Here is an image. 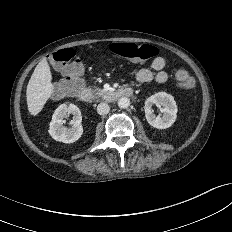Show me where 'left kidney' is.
I'll return each mask as SVG.
<instances>
[{"label": "left kidney", "instance_id": "left-kidney-1", "mask_svg": "<svg viewBox=\"0 0 232 232\" xmlns=\"http://www.w3.org/2000/svg\"><path fill=\"white\" fill-rule=\"evenodd\" d=\"M163 106V115L155 116L151 111L152 105ZM145 116L148 123L157 129H166L176 120L178 108L174 97L166 92H158L145 101Z\"/></svg>", "mask_w": 232, "mask_h": 232}]
</instances>
